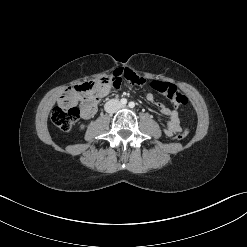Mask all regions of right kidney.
Returning <instances> with one entry per match:
<instances>
[{
	"label": "right kidney",
	"mask_w": 247,
	"mask_h": 247,
	"mask_svg": "<svg viewBox=\"0 0 247 247\" xmlns=\"http://www.w3.org/2000/svg\"><path fill=\"white\" fill-rule=\"evenodd\" d=\"M84 127H85V126L82 124V125L80 126V129L82 130V129H84Z\"/></svg>",
	"instance_id": "obj_1"
}]
</instances>
